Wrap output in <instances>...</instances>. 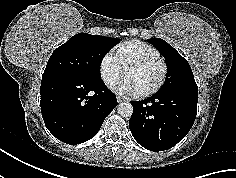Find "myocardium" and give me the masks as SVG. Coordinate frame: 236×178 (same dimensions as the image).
Masks as SVG:
<instances>
[{"label": "myocardium", "instance_id": "obj_1", "mask_svg": "<svg viewBox=\"0 0 236 178\" xmlns=\"http://www.w3.org/2000/svg\"><path fill=\"white\" fill-rule=\"evenodd\" d=\"M154 62L161 63L162 68H163L162 75L155 86H153L152 88H150L142 93L137 94L138 97H141V98L148 97V96L156 93L157 91H159L162 88V86L164 85V83L167 79V76H168V71H169L168 64L163 57L153 56V57H148V58L137 60V61H132L124 69V76H125L128 71H130L134 68L144 67V66H147V65L154 63Z\"/></svg>", "mask_w": 236, "mask_h": 178}]
</instances>
